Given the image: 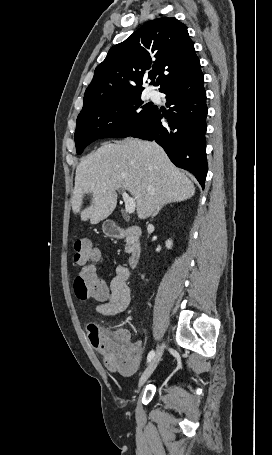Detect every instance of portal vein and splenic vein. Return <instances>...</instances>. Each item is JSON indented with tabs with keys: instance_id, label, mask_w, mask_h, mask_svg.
Listing matches in <instances>:
<instances>
[{
	"instance_id": "1",
	"label": "portal vein and splenic vein",
	"mask_w": 272,
	"mask_h": 455,
	"mask_svg": "<svg viewBox=\"0 0 272 455\" xmlns=\"http://www.w3.org/2000/svg\"><path fill=\"white\" fill-rule=\"evenodd\" d=\"M123 200L125 202V210L127 213L132 214L136 208L135 199L130 197L126 192L122 193Z\"/></svg>"
}]
</instances>
